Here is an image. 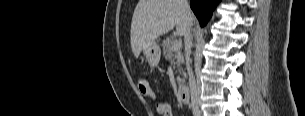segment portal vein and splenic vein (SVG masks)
Segmentation results:
<instances>
[{
  "label": "portal vein and splenic vein",
  "instance_id": "portal-vein-and-splenic-vein-1",
  "mask_svg": "<svg viewBox=\"0 0 305 116\" xmlns=\"http://www.w3.org/2000/svg\"><path fill=\"white\" fill-rule=\"evenodd\" d=\"M182 47V42L181 41H174L171 47V50L177 51Z\"/></svg>",
  "mask_w": 305,
  "mask_h": 116
}]
</instances>
